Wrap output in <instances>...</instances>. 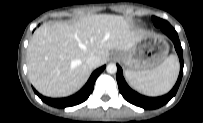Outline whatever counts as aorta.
<instances>
[{"instance_id":"762f6f07","label":"aorta","mask_w":203,"mask_h":123,"mask_svg":"<svg viewBox=\"0 0 203 123\" xmlns=\"http://www.w3.org/2000/svg\"><path fill=\"white\" fill-rule=\"evenodd\" d=\"M106 70L110 74H115L117 72V66L114 63H110L107 65Z\"/></svg>"}]
</instances>
